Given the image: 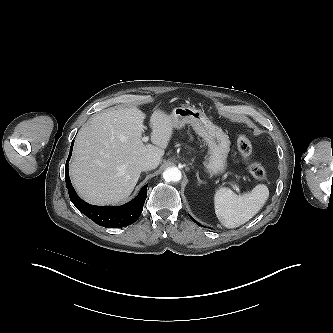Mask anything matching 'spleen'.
Returning a JSON list of instances; mask_svg holds the SVG:
<instances>
[{"label": "spleen", "instance_id": "3e777b00", "mask_svg": "<svg viewBox=\"0 0 333 333\" xmlns=\"http://www.w3.org/2000/svg\"><path fill=\"white\" fill-rule=\"evenodd\" d=\"M269 197L266 185L259 184L251 192L235 194L227 187L214 195V208L218 220L227 228H236L249 221L264 206Z\"/></svg>", "mask_w": 333, "mask_h": 333}]
</instances>
